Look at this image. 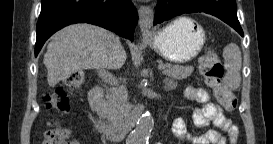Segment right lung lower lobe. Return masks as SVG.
Wrapping results in <instances>:
<instances>
[{
    "mask_svg": "<svg viewBox=\"0 0 273 144\" xmlns=\"http://www.w3.org/2000/svg\"><path fill=\"white\" fill-rule=\"evenodd\" d=\"M85 22L133 41L138 14L130 0H42L35 56L56 31L69 24Z\"/></svg>",
    "mask_w": 273,
    "mask_h": 144,
    "instance_id": "obj_1",
    "label": "right lung lower lobe"
}]
</instances>
